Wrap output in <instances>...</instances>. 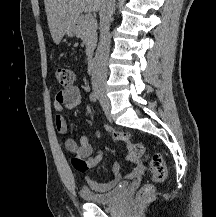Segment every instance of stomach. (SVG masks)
Masks as SVG:
<instances>
[{"instance_id":"0dacf381","label":"stomach","mask_w":216,"mask_h":217,"mask_svg":"<svg viewBox=\"0 0 216 217\" xmlns=\"http://www.w3.org/2000/svg\"><path fill=\"white\" fill-rule=\"evenodd\" d=\"M75 33H76V26H75V25L72 26V27H70V28L68 29V31H67L68 36H71V37H72Z\"/></svg>"}]
</instances>
